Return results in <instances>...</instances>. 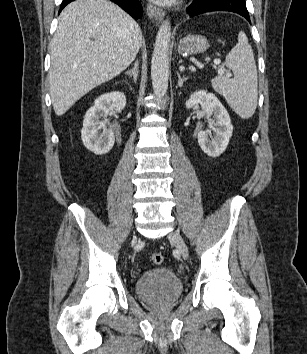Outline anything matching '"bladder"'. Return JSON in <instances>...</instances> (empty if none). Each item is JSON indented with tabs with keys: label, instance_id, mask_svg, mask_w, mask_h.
Returning a JSON list of instances; mask_svg holds the SVG:
<instances>
[{
	"label": "bladder",
	"instance_id": "31cf9c89",
	"mask_svg": "<svg viewBox=\"0 0 307 354\" xmlns=\"http://www.w3.org/2000/svg\"><path fill=\"white\" fill-rule=\"evenodd\" d=\"M135 291L145 303L162 307L178 300L183 292V283L175 272L167 267L152 268L137 278Z\"/></svg>",
	"mask_w": 307,
	"mask_h": 354
}]
</instances>
